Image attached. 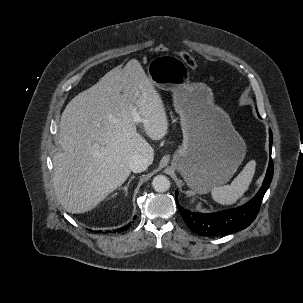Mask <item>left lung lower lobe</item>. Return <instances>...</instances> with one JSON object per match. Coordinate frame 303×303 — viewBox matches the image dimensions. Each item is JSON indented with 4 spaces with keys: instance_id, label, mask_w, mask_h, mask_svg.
<instances>
[{
    "instance_id": "left-lung-lower-lobe-1",
    "label": "left lung lower lobe",
    "mask_w": 303,
    "mask_h": 303,
    "mask_svg": "<svg viewBox=\"0 0 303 303\" xmlns=\"http://www.w3.org/2000/svg\"><path fill=\"white\" fill-rule=\"evenodd\" d=\"M272 132L269 130V149L272 147ZM273 162L270 156L267 173L262 187L245 205L220 211L216 213L202 214L194 213L184 209L178 204L177 191L175 192L177 206L187 226L196 234L204 236L227 235L248 227L256 218L262 199L267 191L273 177Z\"/></svg>"
}]
</instances>
